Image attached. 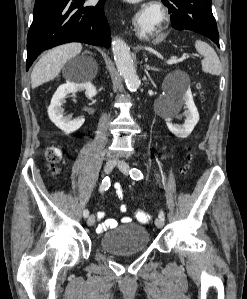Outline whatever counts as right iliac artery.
Here are the masks:
<instances>
[{"label": "right iliac artery", "instance_id": "right-iliac-artery-1", "mask_svg": "<svg viewBox=\"0 0 247 299\" xmlns=\"http://www.w3.org/2000/svg\"><path fill=\"white\" fill-rule=\"evenodd\" d=\"M110 187V179L109 177H105L103 180H102V183L100 185V188H99V191L100 192H104L106 191L108 188ZM83 216L85 218H87L89 216V211L86 209L84 210L83 212Z\"/></svg>", "mask_w": 247, "mask_h": 299}]
</instances>
